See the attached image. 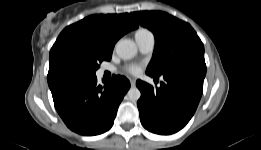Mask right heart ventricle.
I'll return each mask as SVG.
<instances>
[{
  "label": "right heart ventricle",
  "instance_id": "right-heart-ventricle-1",
  "mask_svg": "<svg viewBox=\"0 0 261 150\" xmlns=\"http://www.w3.org/2000/svg\"><path fill=\"white\" fill-rule=\"evenodd\" d=\"M144 31H146V29H144V28L138 29V30L136 31L135 35H136V34H139V33H141V32H144Z\"/></svg>",
  "mask_w": 261,
  "mask_h": 150
}]
</instances>
